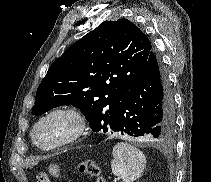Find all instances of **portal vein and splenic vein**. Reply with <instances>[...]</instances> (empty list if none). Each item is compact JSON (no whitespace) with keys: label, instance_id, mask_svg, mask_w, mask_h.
<instances>
[{"label":"portal vein and splenic vein","instance_id":"obj_1","mask_svg":"<svg viewBox=\"0 0 211 182\" xmlns=\"http://www.w3.org/2000/svg\"><path fill=\"white\" fill-rule=\"evenodd\" d=\"M120 180V178L118 177V178H115L114 179V182H118Z\"/></svg>","mask_w":211,"mask_h":182}]
</instances>
